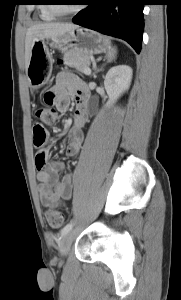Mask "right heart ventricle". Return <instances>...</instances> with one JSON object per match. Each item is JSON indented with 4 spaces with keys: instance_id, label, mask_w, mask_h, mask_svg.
Masks as SVG:
<instances>
[{
    "instance_id": "obj_1",
    "label": "right heart ventricle",
    "mask_w": 181,
    "mask_h": 300,
    "mask_svg": "<svg viewBox=\"0 0 181 300\" xmlns=\"http://www.w3.org/2000/svg\"><path fill=\"white\" fill-rule=\"evenodd\" d=\"M39 17L43 21H54L56 16H54L48 9L47 4H41V6L38 9Z\"/></svg>"
}]
</instances>
